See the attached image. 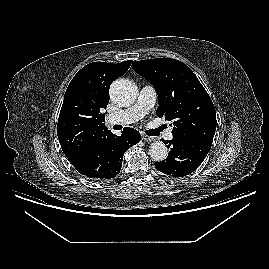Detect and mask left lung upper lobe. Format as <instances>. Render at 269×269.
<instances>
[{
	"mask_svg": "<svg viewBox=\"0 0 269 269\" xmlns=\"http://www.w3.org/2000/svg\"><path fill=\"white\" fill-rule=\"evenodd\" d=\"M133 69L158 93L157 115L173 125L180 140L208 139L216 131L215 107L196 75L184 63L171 58L134 61Z\"/></svg>",
	"mask_w": 269,
	"mask_h": 269,
	"instance_id": "left-lung-upper-lobe-1",
	"label": "left lung upper lobe"
}]
</instances>
